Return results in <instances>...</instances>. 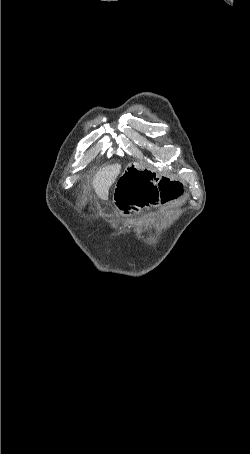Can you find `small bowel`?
Instances as JSON below:
<instances>
[{
    "label": "small bowel",
    "mask_w": 250,
    "mask_h": 454,
    "mask_svg": "<svg viewBox=\"0 0 250 454\" xmlns=\"http://www.w3.org/2000/svg\"><path fill=\"white\" fill-rule=\"evenodd\" d=\"M183 186L175 180L159 178L147 171H127L118 180L114 202L123 212H132L176 200Z\"/></svg>",
    "instance_id": "c3829d8e"
}]
</instances>
